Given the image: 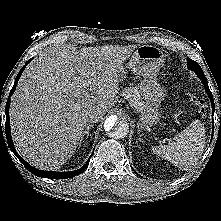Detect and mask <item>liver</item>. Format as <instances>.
Masks as SVG:
<instances>
[{"mask_svg":"<svg viewBox=\"0 0 221 221\" xmlns=\"http://www.w3.org/2000/svg\"><path fill=\"white\" fill-rule=\"evenodd\" d=\"M136 47L77 50L62 44L40 53L11 99V135L18 153L36 168H60L81 141L88 114L106 113L118 101L119 70Z\"/></svg>","mask_w":221,"mask_h":221,"instance_id":"1","label":"liver"}]
</instances>
